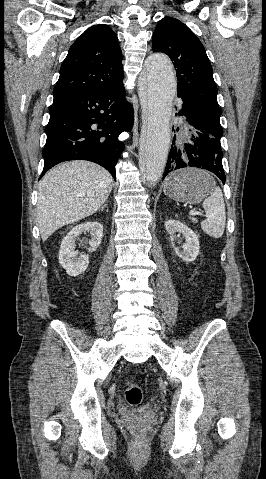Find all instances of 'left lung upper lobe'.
Masks as SVG:
<instances>
[{"label": "left lung upper lobe", "mask_w": 266, "mask_h": 479, "mask_svg": "<svg viewBox=\"0 0 266 479\" xmlns=\"http://www.w3.org/2000/svg\"><path fill=\"white\" fill-rule=\"evenodd\" d=\"M152 49L166 53L174 62L177 95L206 121L215 136L223 134L217 87L204 46L196 35L178 19H161L152 37Z\"/></svg>", "instance_id": "5c2ea615"}]
</instances>
